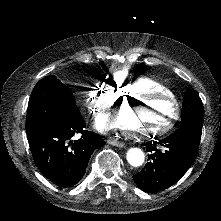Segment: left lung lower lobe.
Listing matches in <instances>:
<instances>
[{"instance_id": "left-lung-lower-lobe-1", "label": "left lung lower lobe", "mask_w": 221, "mask_h": 221, "mask_svg": "<svg viewBox=\"0 0 221 221\" xmlns=\"http://www.w3.org/2000/svg\"><path fill=\"white\" fill-rule=\"evenodd\" d=\"M201 134L180 128L160 141L143 143L147 151L153 152L151 161L133 179L137 186L148 193L164 190L175 184L194 162ZM157 143L164 150L157 149Z\"/></svg>"}]
</instances>
